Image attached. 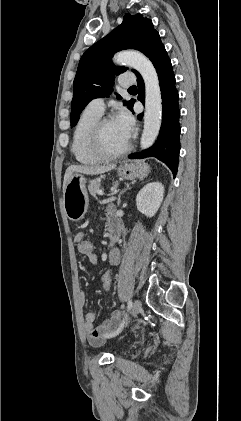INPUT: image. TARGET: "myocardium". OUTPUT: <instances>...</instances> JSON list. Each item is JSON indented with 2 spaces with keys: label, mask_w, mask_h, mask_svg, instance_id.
<instances>
[{
  "label": "myocardium",
  "mask_w": 241,
  "mask_h": 421,
  "mask_svg": "<svg viewBox=\"0 0 241 421\" xmlns=\"http://www.w3.org/2000/svg\"><path fill=\"white\" fill-rule=\"evenodd\" d=\"M113 119L109 117L100 118L95 125L93 126L90 138H89V145L91 151L101 160H114L120 158L127 154L131 149V142L128 141L126 146L118 152H108L105 150L103 143H102V132L104 126L112 122Z\"/></svg>",
  "instance_id": "myocardium-1"
}]
</instances>
